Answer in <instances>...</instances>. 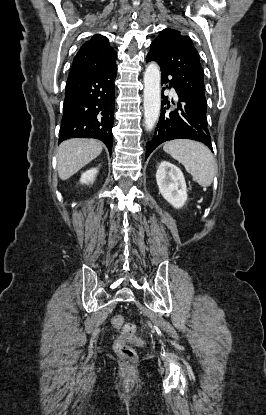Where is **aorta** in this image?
<instances>
[{
	"instance_id": "aorta-1",
	"label": "aorta",
	"mask_w": 266,
	"mask_h": 415,
	"mask_svg": "<svg viewBox=\"0 0 266 415\" xmlns=\"http://www.w3.org/2000/svg\"><path fill=\"white\" fill-rule=\"evenodd\" d=\"M160 68L155 62L147 65L144 73V123L147 131H151L160 115Z\"/></svg>"
}]
</instances>
